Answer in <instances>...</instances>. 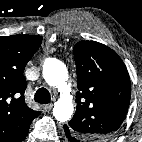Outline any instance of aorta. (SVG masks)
<instances>
[{
	"mask_svg": "<svg viewBox=\"0 0 142 142\" xmlns=\"http://www.w3.org/2000/svg\"><path fill=\"white\" fill-rule=\"evenodd\" d=\"M43 78L49 86L58 88L61 93V97L53 107L55 119L59 122L68 121L73 114L74 105L66 85L68 78L66 66L55 58L46 59L43 65Z\"/></svg>",
	"mask_w": 142,
	"mask_h": 142,
	"instance_id": "aorta-1",
	"label": "aorta"
}]
</instances>
